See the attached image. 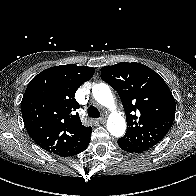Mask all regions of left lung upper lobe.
<instances>
[{
  "instance_id": "obj_1",
  "label": "left lung upper lobe",
  "mask_w": 196,
  "mask_h": 196,
  "mask_svg": "<svg viewBox=\"0 0 196 196\" xmlns=\"http://www.w3.org/2000/svg\"><path fill=\"white\" fill-rule=\"evenodd\" d=\"M101 78L122 100L127 131L124 139L147 150L159 143L175 117V99L165 81L140 63L121 62L101 68Z\"/></svg>"
}]
</instances>
